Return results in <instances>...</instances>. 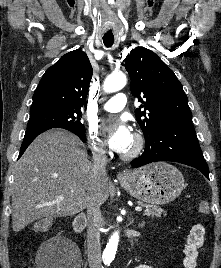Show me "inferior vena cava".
Returning a JSON list of instances; mask_svg holds the SVG:
<instances>
[{
    "label": "inferior vena cava",
    "instance_id": "1",
    "mask_svg": "<svg viewBox=\"0 0 221 268\" xmlns=\"http://www.w3.org/2000/svg\"><path fill=\"white\" fill-rule=\"evenodd\" d=\"M107 156L106 151L99 149L93 153V175L94 191L91 193L87 203V253L89 268H102L100 228L102 215L100 211V202L96 191V185L99 177L106 175Z\"/></svg>",
    "mask_w": 221,
    "mask_h": 268
}]
</instances>
